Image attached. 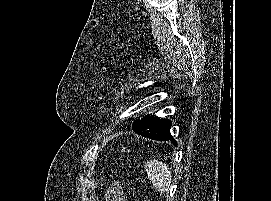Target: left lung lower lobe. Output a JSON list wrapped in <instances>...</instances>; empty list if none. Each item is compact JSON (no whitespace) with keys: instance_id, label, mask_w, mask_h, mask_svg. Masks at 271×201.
<instances>
[{"instance_id":"1","label":"left lung lower lobe","mask_w":271,"mask_h":201,"mask_svg":"<svg viewBox=\"0 0 271 201\" xmlns=\"http://www.w3.org/2000/svg\"><path fill=\"white\" fill-rule=\"evenodd\" d=\"M132 129H133L134 132H136L134 127H132ZM170 139H172V142H173L174 145H177L175 139L171 138V134H169L168 137H166L165 139H162L160 141H167V140H170Z\"/></svg>"}]
</instances>
